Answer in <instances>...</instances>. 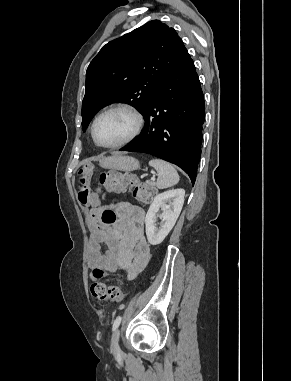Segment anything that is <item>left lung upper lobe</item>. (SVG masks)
<instances>
[{"label": "left lung upper lobe", "mask_w": 291, "mask_h": 381, "mask_svg": "<svg viewBox=\"0 0 291 381\" xmlns=\"http://www.w3.org/2000/svg\"><path fill=\"white\" fill-rule=\"evenodd\" d=\"M186 54L176 31L159 20L107 43L86 72L83 131L93 116L110 103H128L143 113L150 97Z\"/></svg>", "instance_id": "left-lung-upper-lobe-1"}]
</instances>
